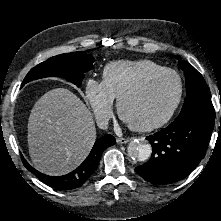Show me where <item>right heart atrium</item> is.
I'll use <instances>...</instances> for the list:
<instances>
[{
    "label": "right heart atrium",
    "instance_id": "obj_1",
    "mask_svg": "<svg viewBox=\"0 0 221 221\" xmlns=\"http://www.w3.org/2000/svg\"><path fill=\"white\" fill-rule=\"evenodd\" d=\"M84 93L97 121L106 123L113 113L114 97L104 82L89 78L85 83Z\"/></svg>",
    "mask_w": 221,
    "mask_h": 221
}]
</instances>
